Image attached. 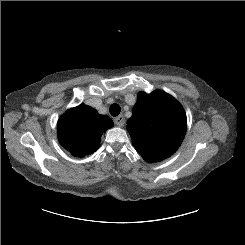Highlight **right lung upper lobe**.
Returning <instances> with one entry per match:
<instances>
[{
  "instance_id": "1",
  "label": "right lung upper lobe",
  "mask_w": 245,
  "mask_h": 245,
  "mask_svg": "<svg viewBox=\"0 0 245 245\" xmlns=\"http://www.w3.org/2000/svg\"><path fill=\"white\" fill-rule=\"evenodd\" d=\"M113 125L108 116L79 105L69 109L58 120V139L72 155L84 157L99 148L101 135Z\"/></svg>"
}]
</instances>
